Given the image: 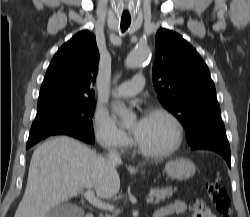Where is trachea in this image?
Wrapping results in <instances>:
<instances>
[{"label": "trachea", "instance_id": "3493384b", "mask_svg": "<svg viewBox=\"0 0 250 217\" xmlns=\"http://www.w3.org/2000/svg\"><path fill=\"white\" fill-rule=\"evenodd\" d=\"M131 19H121V29L122 32H125L127 28L130 26Z\"/></svg>", "mask_w": 250, "mask_h": 217}]
</instances>
